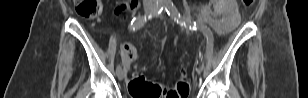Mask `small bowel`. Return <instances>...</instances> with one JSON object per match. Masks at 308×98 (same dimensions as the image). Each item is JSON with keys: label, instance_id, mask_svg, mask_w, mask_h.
<instances>
[{"label": "small bowel", "instance_id": "1", "mask_svg": "<svg viewBox=\"0 0 308 98\" xmlns=\"http://www.w3.org/2000/svg\"><path fill=\"white\" fill-rule=\"evenodd\" d=\"M137 6H138V2L135 1V3L131 5V8H132V9H135V8H137ZM215 28H216V29L218 30V32H220L221 34H225V33L227 32V31H226L224 28H222L220 25H215Z\"/></svg>", "mask_w": 308, "mask_h": 98}]
</instances>
